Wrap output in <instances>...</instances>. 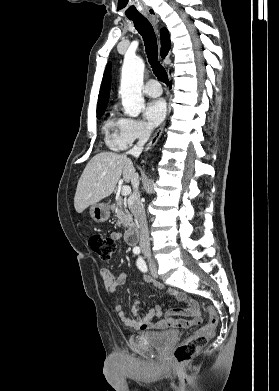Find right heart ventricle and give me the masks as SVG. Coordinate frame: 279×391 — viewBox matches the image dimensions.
Segmentation results:
<instances>
[{
    "instance_id": "1",
    "label": "right heart ventricle",
    "mask_w": 279,
    "mask_h": 391,
    "mask_svg": "<svg viewBox=\"0 0 279 391\" xmlns=\"http://www.w3.org/2000/svg\"><path fill=\"white\" fill-rule=\"evenodd\" d=\"M119 120L115 118L113 114H111L105 121L104 123V133H105V139L107 144L111 148H117V143H118V125H119Z\"/></svg>"
}]
</instances>
